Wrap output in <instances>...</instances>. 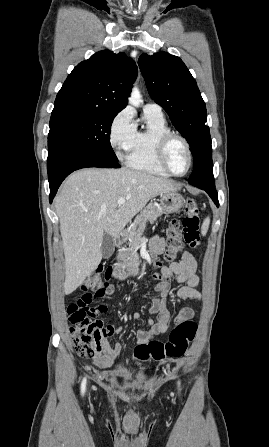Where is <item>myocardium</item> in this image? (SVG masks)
Here are the masks:
<instances>
[{
  "instance_id": "1",
  "label": "myocardium",
  "mask_w": 269,
  "mask_h": 447,
  "mask_svg": "<svg viewBox=\"0 0 269 447\" xmlns=\"http://www.w3.org/2000/svg\"><path fill=\"white\" fill-rule=\"evenodd\" d=\"M176 140L180 141L185 146V149H186L187 155H188V165H187V168L183 172H176L175 170H173V168L171 167V165L168 161L169 147L172 144V142H174ZM157 159H158L159 163L170 174H172L174 176H183L190 170L191 165H192L191 146L186 138H184L183 136H181L177 133L170 132V133L164 134L163 136H161L159 138L158 143H157Z\"/></svg>"
}]
</instances>
